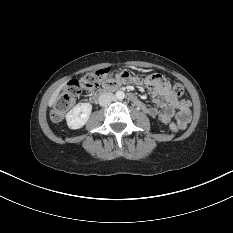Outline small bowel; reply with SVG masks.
Instances as JSON below:
<instances>
[{"label": "small bowel", "instance_id": "1", "mask_svg": "<svg viewBox=\"0 0 233 233\" xmlns=\"http://www.w3.org/2000/svg\"><path fill=\"white\" fill-rule=\"evenodd\" d=\"M116 85L120 83L133 84L136 76L127 69H122L114 75ZM147 89L150 91L154 101L161 107V110L153 106L145 105L140 101L138 105L147 115L156 117L162 123H169L174 117L180 129H184L191 119L190 102L185 99H178L170 90V84L161 75H153L145 80Z\"/></svg>", "mask_w": 233, "mask_h": 233}]
</instances>
